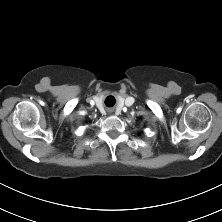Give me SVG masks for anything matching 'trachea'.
Wrapping results in <instances>:
<instances>
[{"mask_svg":"<svg viewBox=\"0 0 222 222\" xmlns=\"http://www.w3.org/2000/svg\"><path fill=\"white\" fill-rule=\"evenodd\" d=\"M107 99L113 100L114 98L110 96V97H108Z\"/></svg>","mask_w":222,"mask_h":222,"instance_id":"1","label":"trachea"}]
</instances>
